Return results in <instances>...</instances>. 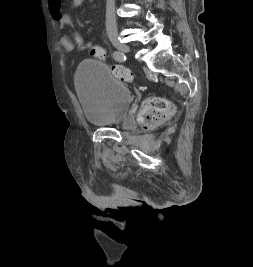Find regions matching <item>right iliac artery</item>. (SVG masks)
Returning <instances> with one entry per match:
<instances>
[{
	"instance_id": "right-iliac-artery-1",
	"label": "right iliac artery",
	"mask_w": 253,
	"mask_h": 267,
	"mask_svg": "<svg viewBox=\"0 0 253 267\" xmlns=\"http://www.w3.org/2000/svg\"><path fill=\"white\" fill-rule=\"evenodd\" d=\"M113 58L118 62H124L126 60V56L122 52H119V51H115L113 53Z\"/></svg>"
}]
</instances>
